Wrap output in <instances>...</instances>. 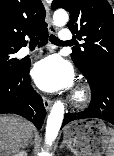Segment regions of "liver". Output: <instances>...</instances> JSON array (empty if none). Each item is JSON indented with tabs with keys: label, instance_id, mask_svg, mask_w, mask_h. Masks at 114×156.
I'll return each mask as SVG.
<instances>
[{
	"label": "liver",
	"instance_id": "obj_1",
	"mask_svg": "<svg viewBox=\"0 0 114 156\" xmlns=\"http://www.w3.org/2000/svg\"><path fill=\"white\" fill-rule=\"evenodd\" d=\"M34 126L15 115H0V156H11L24 148L32 137Z\"/></svg>",
	"mask_w": 114,
	"mask_h": 156
}]
</instances>
